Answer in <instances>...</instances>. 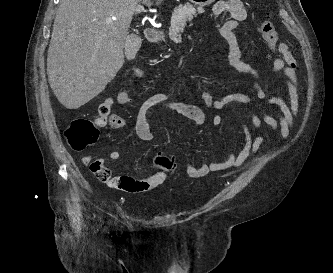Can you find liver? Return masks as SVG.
Listing matches in <instances>:
<instances>
[{
	"label": "liver",
	"mask_w": 333,
	"mask_h": 273,
	"mask_svg": "<svg viewBox=\"0 0 333 273\" xmlns=\"http://www.w3.org/2000/svg\"><path fill=\"white\" fill-rule=\"evenodd\" d=\"M163 0H156L160 4ZM151 0H61L47 55L51 89L67 109L101 93L124 63L136 7Z\"/></svg>",
	"instance_id": "6515ba94"
}]
</instances>
